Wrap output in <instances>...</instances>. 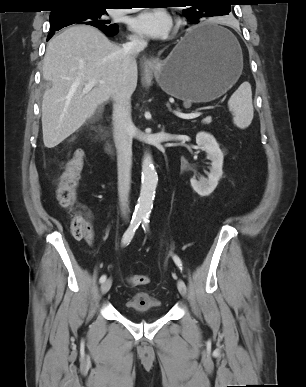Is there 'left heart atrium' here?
<instances>
[{
	"instance_id": "1",
	"label": "left heart atrium",
	"mask_w": 306,
	"mask_h": 387,
	"mask_svg": "<svg viewBox=\"0 0 306 387\" xmlns=\"http://www.w3.org/2000/svg\"><path fill=\"white\" fill-rule=\"evenodd\" d=\"M129 27L146 37L163 38L172 29V19L162 10H145L130 19Z\"/></svg>"
}]
</instances>
